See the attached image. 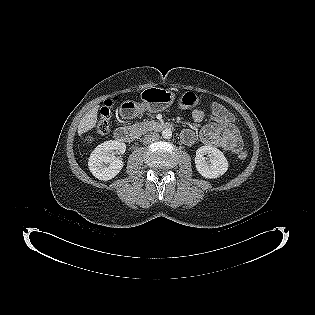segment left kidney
<instances>
[{
    "label": "left kidney",
    "mask_w": 315,
    "mask_h": 315,
    "mask_svg": "<svg viewBox=\"0 0 315 315\" xmlns=\"http://www.w3.org/2000/svg\"><path fill=\"white\" fill-rule=\"evenodd\" d=\"M205 155H208V161H206ZM195 166L204 178L215 179L226 173L229 164L219 149L212 146H202L196 150Z\"/></svg>",
    "instance_id": "obj_1"
}]
</instances>
